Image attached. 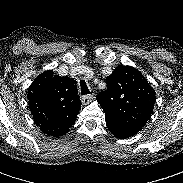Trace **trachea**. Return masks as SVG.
I'll return each mask as SVG.
<instances>
[{"instance_id": "trachea-1", "label": "trachea", "mask_w": 183, "mask_h": 183, "mask_svg": "<svg viewBox=\"0 0 183 183\" xmlns=\"http://www.w3.org/2000/svg\"><path fill=\"white\" fill-rule=\"evenodd\" d=\"M80 88L83 95L90 94V90L84 80L80 81Z\"/></svg>"}]
</instances>
